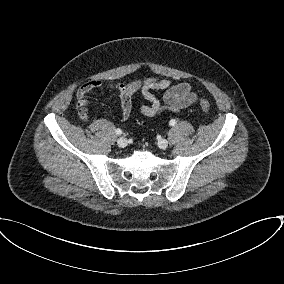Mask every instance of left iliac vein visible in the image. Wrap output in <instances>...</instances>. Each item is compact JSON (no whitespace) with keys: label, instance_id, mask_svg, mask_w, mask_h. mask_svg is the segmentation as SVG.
Returning a JSON list of instances; mask_svg holds the SVG:
<instances>
[{"label":"left iliac vein","instance_id":"obj_1","mask_svg":"<svg viewBox=\"0 0 284 284\" xmlns=\"http://www.w3.org/2000/svg\"><path fill=\"white\" fill-rule=\"evenodd\" d=\"M158 146L161 148V149H166L167 146H168V141L166 139H160L158 141Z\"/></svg>","mask_w":284,"mask_h":284}]
</instances>
